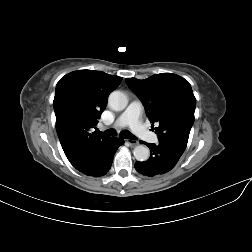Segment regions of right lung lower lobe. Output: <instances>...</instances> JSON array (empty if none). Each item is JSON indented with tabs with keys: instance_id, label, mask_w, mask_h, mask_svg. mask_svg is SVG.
Listing matches in <instances>:
<instances>
[{
	"instance_id": "1",
	"label": "right lung lower lobe",
	"mask_w": 252,
	"mask_h": 252,
	"mask_svg": "<svg viewBox=\"0 0 252 252\" xmlns=\"http://www.w3.org/2000/svg\"><path fill=\"white\" fill-rule=\"evenodd\" d=\"M123 143L124 140L121 138H109L82 159L74 168L88 176L99 177L105 175L111 168L116 150Z\"/></svg>"
}]
</instances>
